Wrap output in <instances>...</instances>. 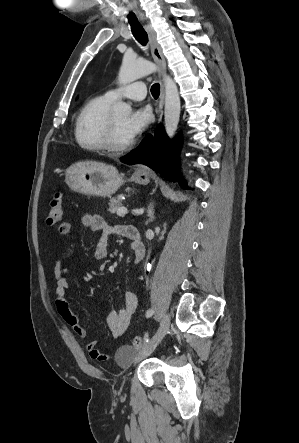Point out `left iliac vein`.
I'll list each match as a JSON object with an SVG mask.
<instances>
[{
    "mask_svg": "<svg viewBox=\"0 0 299 443\" xmlns=\"http://www.w3.org/2000/svg\"><path fill=\"white\" fill-rule=\"evenodd\" d=\"M170 328V315L166 313L160 323V327L155 333V335L150 339V341L147 343L146 347L140 351L134 360V363L140 362L142 359H144L146 356L150 355L157 345L160 343L162 338L166 335V333L169 331Z\"/></svg>",
    "mask_w": 299,
    "mask_h": 443,
    "instance_id": "obj_1",
    "label": "left iliac vein"
}]
</instances>
